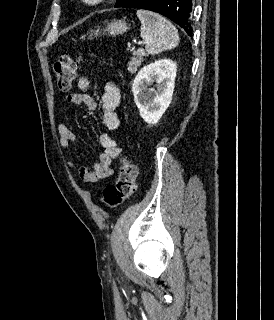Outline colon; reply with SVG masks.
Wrapping results in <instances>:
<instances>
[{
	"instance_id": "obj_1",
	"label": "colon",
	"mask_w": 274,
	"mask_h": 320,
	"mask_svg": "<svg viewBox=\"0 0 274 320\" xmlns=\"http://www.w3.org/2000/svg\"><path fill=\"white\" fill-rule=\"evenodd\" d=\"M77 58L75 54H62L54 63L56 86L63 93H68L72 88L76 75ZM135 176L136 169L133 163L126 158L122 159L117 181L104 188L101 193V201L109 208L126 202L134 194Z\"/></svg>"
}]
</instances>
